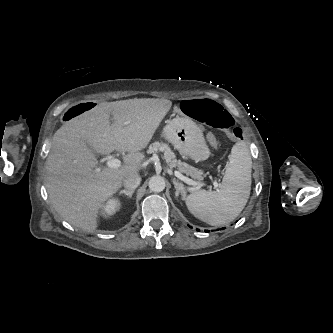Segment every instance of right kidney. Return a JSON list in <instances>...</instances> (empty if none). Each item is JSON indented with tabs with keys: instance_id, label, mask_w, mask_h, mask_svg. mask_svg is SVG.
<instances>
[{
	"instance_id": "1",
	"label": "right kidney",
	"mask_w": 333,
	"mask_h": 333,
	"mask_svg": "<svg viewBox=\"0 0 333 333\" xmlns=\"http://www.w3.org/2000/svg\"><path fill=\"white\" fill-rule=\"evenodd\" d=\"M102 209V213L105 217L113 215L117 210L120 209V202L117 199H111L103 206Z\"/></svg>"
}]
</instances>
